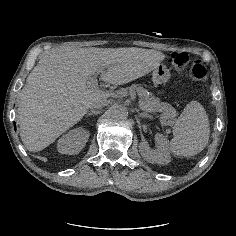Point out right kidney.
<instances>
[{"instance_id": "ca27d5eb", "label": "right kidney", "mask_w": 236, "mask_h": 236, "mask_svg": "<svg viewBox=\"0 0 236 236\" xmlns=\"http://www.w3.org/2000/svg\"><path fill=\"white\" fill-rule=\"evenodd\" d=\"M89 136V131L81 127L70 130L58 140L57 150L61 154H78L84 148Z\"/></svg>"}]
</instances>
